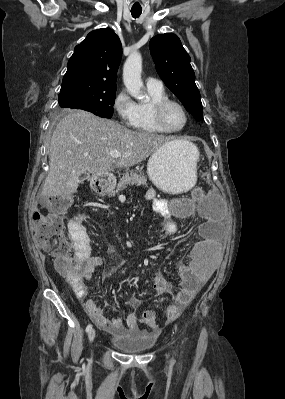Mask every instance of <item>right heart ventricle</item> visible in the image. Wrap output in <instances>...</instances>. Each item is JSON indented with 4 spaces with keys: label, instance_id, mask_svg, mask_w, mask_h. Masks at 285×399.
I'll list each match as a JSON object with an SVG mask.
<instances>
[{
    "label": "right heart ventricle",
    "instance_id": "e07e8e85",
    "mask_svg": "<svg viewBox=\"0 0 285 399\" xmlns=\"http://www.w3.org/2000/svg\"><path fill=\"white\" fill-rule=\"evenodd\" d=\"M150 101L145 104L136 105V124L135 128L141 132L164 134L170 133L165 130L160 129L153 117L152 107L153 105L163 99H167L168 95L163 87L161 88H147Z\"/></svg>",
    "mask_w": 285,
    "mask_h": 399
}]
</instances>
